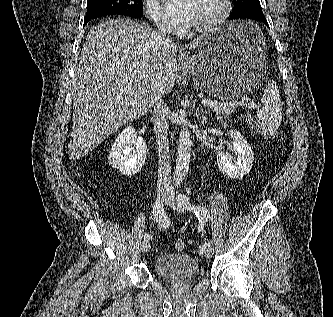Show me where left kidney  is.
Returning a JSON list of instances; mask_svg holds the SVG:
<instances>
[{
  "mask_svg": "<svg viewBox=\"0 0 333 317\" xmlns=\"http://www.w3.org/2000/svg\"><path fill=\"white\" fill-rule=\"evenodd\" d=\"M229 134L233 140L232 147L236 158L232 160L227 153L219 152L217 165L225 176L231 179H240L250 172L254 162V153L239 131L231 130Z\"/></svg>",
  "mask_w": 333,
  "mask_h": 317,
  "instance_id": "left-kidney-1",
  "label": "left kidney"
}]
</instances>
